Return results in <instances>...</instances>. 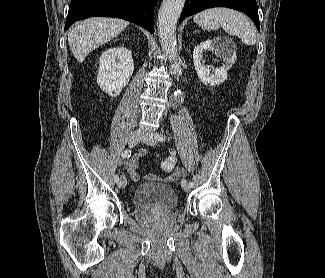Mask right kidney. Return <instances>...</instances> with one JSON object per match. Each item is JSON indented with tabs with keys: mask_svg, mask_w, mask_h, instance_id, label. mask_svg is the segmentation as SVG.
I'll list each match as a JSON object with an SVG mask.
<instances>
[{
	"mask_svg": "<svg viewBox=\"0 0 325 278\" xmlns=\"http://www.w3.org/2000/svg\"><path fill=\"white\" fill-rule=\"evenodd\" d=\"M134 71L132 53L125 47H111L99 59L97 83L110 96L120 94Z\"/></svg>",
	"mask_w": 325,
	"mask_h": 278,
	"instance_id": "right-kidney-1",
	"label": "right kidney"
}]
</instances>
